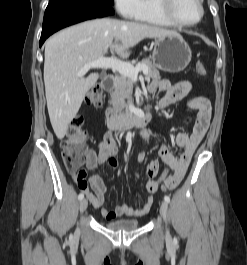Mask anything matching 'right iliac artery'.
Segmentation results:
<instances>
[{
	"label": "right iliac artery",
	"instance_id": "1",
	"mask_svg": "<svg viewBox=\"0 0 247 265\" xmlns=\"http://www.w3.org/2000/svg\"><path fill=\"white\" fill-rule=\"evenodd\" d=\"M84 198V194L83 193H80L79 195H78V199L79 200H82Z\"/></svg>",
	"mask_w": 247,
	"mask_h": 265
}]
</instances>
